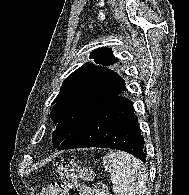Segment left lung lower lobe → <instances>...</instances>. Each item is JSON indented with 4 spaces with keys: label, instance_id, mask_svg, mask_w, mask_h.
Wrapping results in <instances>:
<instances>
[{
    "label": "left lung lower lobe",
    "instance_id": "1",
    "mask_svg": "<svg viewBox=\"0 0 189 195\" xmlns=\"http://www.w3.org/2000/svg\"><path fill=\"white\" fill-rule=\"evenodd\" d=\"M119 94L109 99L78 126L57 149L111 148L126 151L146 162L144 138L132 102Z\"/></svg>",
    "mask_w": 189,
    "mask_h": 195
}]
</instances>
